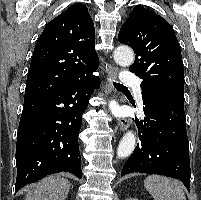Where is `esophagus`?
<instances>
[{
	"mask_svg": "<svg viewBox=\"0 0 201 200\" xmlns=\"http://www.w3.org/2000/svg\"><path fill=\"white\" fill-rule=\"evenodd\" d=\"M108 76L111 80L115 81L118 77V68L115 66H111L109 71H108ZM111 86V85H110ZM111 89L113 90L114 94H115V90L114 88L111 86ZM118 101H121V97L116 95ZM117 123H118V127L121 131H125L128 129V127L131 124V120L128 118H123V117H119L117 119Z\"/></svg>",
	"mask_w": 201,
	"mask_h": 200,
	"instance_id": "34e87169",
	"label": "esophagus"
}]
</instances>
